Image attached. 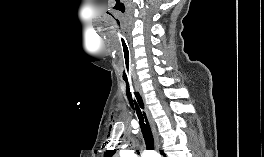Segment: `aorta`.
I'll return each instance as SVG.
<instances>
[{"label": "aorta", "mask_w": 264, "mask_h": 157, "mask_svg": "<svg viewBox=\"0 0 264 157\" xmlns=\"http://www.w3.org/2000/svg\"><path fill=\"white\" fill-rule=\"evenodd\" d=\"M120 155H121V157H131L132 153L123 151L120 153Z\"/></svg>", "instance_id": "obj_1"}]
</instances>
